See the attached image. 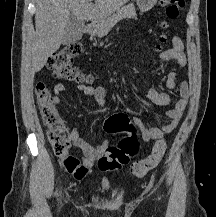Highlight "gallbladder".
<instances>
[{
	"mask_svg": "<svg viewBox=\"0 0 216 217\" xmlns=\"http://www.w3.org/2000/svg\"><path fill=\"white\" fill-rule=\"evenodd\" d=\"M84 25L74 15H71L62 38L63 45H69L80 40L83 36Z\"/></svg>",
	"mask_w": 216,
	"mask_h": 217,
	"instance_id": "obj_1",
	"label": "gallbladder"
}]
</instances>
